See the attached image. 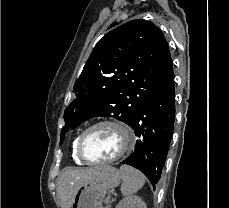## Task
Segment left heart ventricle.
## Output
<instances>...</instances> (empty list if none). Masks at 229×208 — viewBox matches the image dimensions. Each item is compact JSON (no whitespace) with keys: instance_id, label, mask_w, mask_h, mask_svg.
<instances>
[{"instance_id":"1","label":"left heart ventricle","mask_w":229,"mask_h":208,"mask_svg":"<svg viewBox=\"0 0 229 208\" xmlns=\"http://www.w3.org/2000/svg\"><path fill=\"white\" fill-rule=\"evenodd\" d=\"M120 130L114 126H101L90 131L85 138L84 153L88 160H111L123 147L120 146V138H126L125 134L117 135ZM126 144V143H125Z\"/></svg>"}]
</instances>
